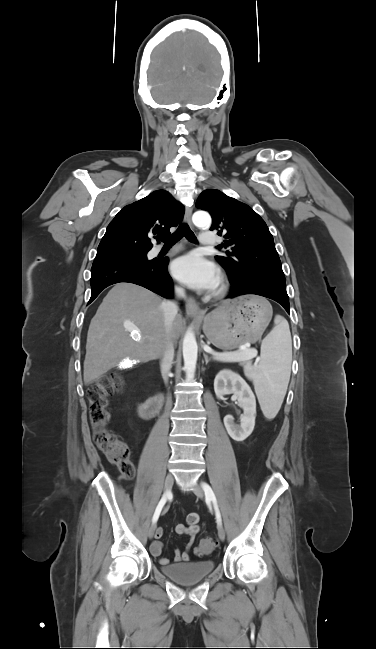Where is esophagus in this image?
Listing matches in <instances>:
<instances>
[{
  "label": "esophagus",
  "mask_w": 376,
  "mask_h": 649,
  "mask_svg": "<svg viewBox=\"0 0 376 649\" xmlns=\"http://www.w3.org/2000/svg\"><path fill=\"white\" fill-rule=\"evenodd\" d=\"M191 216H192V207H187L184 220L187 224L192 225L191 221ZM186 312L190 316L194 317H200L202 315V311L200 310L199 306L197 305L196 301L193 298H188L186 301Z\"/></svg>",
  "instance_id": "obj_1"
}]
</instances>
